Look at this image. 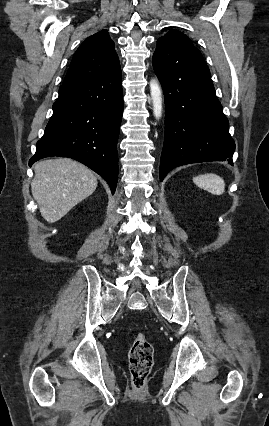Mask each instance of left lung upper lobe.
<instances>
[{"mask_svg": "<svg viewBox=\"0 0 269 426\" xmlns=\"http://www.w3.org/2000/svg\"><path fill=\"white\" fill-rule=\"evenodd\" d=\"M158 40L173 42V43H180V44H188L193 45V43L190 41V39L184 35L183 33L175 30H171L167 32L163 37L159 38Z\"/></svg>", "mask_w": 269, "mask_h": 426, "instance_id": "left-lung-upper-lobe-1", "label": "left lung upper lobe"}]
</instances>
